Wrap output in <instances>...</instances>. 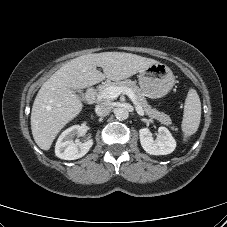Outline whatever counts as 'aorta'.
Wrapping results in <instances>:
<instances>
[{"mask_svg": "<svg viewBox=\"0 0 227 227\" xmlns=\"http://www.w3.org/2000/svg\"><path fill=\"white\" fill-rule=\"evenodd\" d=\"M118 120H125L128 118V111L125 108H117L114 112Z\"/></svg>", "mask_w": 227, "mask_h": 227, "instance_id": "762f6f07", "label": "aorta"}]
</instances>
